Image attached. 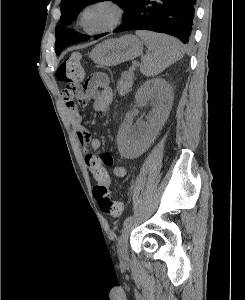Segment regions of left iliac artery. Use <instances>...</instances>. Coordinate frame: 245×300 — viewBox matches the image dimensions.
I'll return each instance as SVG.
<instances>
[{"label": "left iliac artery", "instance_id": "left-iliac-artery-1", "mask_svg": "<svg viewBox=\"0 0 245 300\" xmlns=\"http://www.w3.org/2000/svg\"><path fill=\"white\" fill-rule=\"evenodd\" d=\"M133 220V216H129L125 219L123 225L126 226L128 223H130Z\"/></svg>", "mask_w": 245, "mask_h": 300}]
</instances>
